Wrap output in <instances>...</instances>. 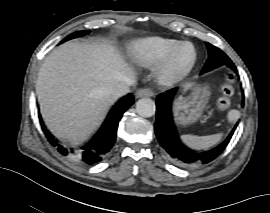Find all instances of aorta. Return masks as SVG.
Listing matches in <instances>:
<instances>
[{"label":"aorta","mask_w":270,"mask_h":213,"mask_svg":"<svg viewBox=\"0 0 270 213\" xmlns=\"http://www.w3.org/2000/svg\"><path fill=\"white\" fill-rule=\"evenodd\" d=\"M136 110L142 117H151L155 114L156 105L152 99L142 98L137 101Z\"/></svg>","instance_id":"aorta-1"}]
</instances>
